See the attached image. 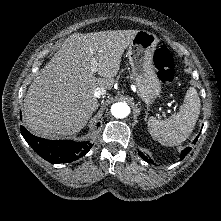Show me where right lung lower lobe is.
Returning a JSON list of instances; mask_svg holds the SVG:
<instances>
[{"instance_id":"right-lung-lower-lobe-1","label":"right lung lower lobe","mask_w":221,"mask_h":221,"mask_svg":"<svg viewBox=\"0 0 221 221\" xmlns=\"http://www.w3.org/2000/svg\"><path fill=\"white\" fill-rule=\"evenodd\" d=\"M21 133L27 143L45 160L51 163H69L83 157L92 147L89 141L47 140L32 135L23 126Z\"/></svg>"}]
</instances>
